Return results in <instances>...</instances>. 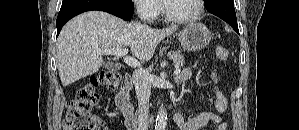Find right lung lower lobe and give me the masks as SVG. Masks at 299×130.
<instances>
[{
    "instance_id": "right-lung-lower-lobe-1",
    "label": "right lung lower lobe",
    "mask_w": 299,
    "mask_h": 130,
    "mask_svg": "<svg viewBox=\"0 0 299 130\" xmlns=\"http://www.w3.org/2000/svg\"><path fill=\"white\" fill-rule=\"evenodd\" d=\"M132 0H63L57 17V36L63 25L74 16L91 10H99L129 20L133 15Z\"/></svg>"
}]
</instances>
